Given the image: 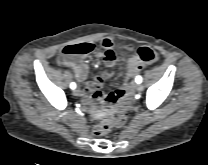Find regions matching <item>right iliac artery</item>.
Wrapping results in <instances>:
<instances>
[{"mask_svg":"<svg viewBox=\"0 0 208 165\" xmlns=\"http://www.w3.org/2000/svg\"><path fill=\"white\" fill-rule=\"evenodd\" d=\"M75 87H76V84H75L74 82H72V83L70 84V88H71V89H75Z\"/></svg>","mask_w":208,"mask_h":165,"instance_id":"1","label":"right iliac artery"}]
</instances>
